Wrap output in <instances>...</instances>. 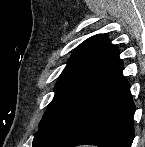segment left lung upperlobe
I'll return each instance as SVG.
<instances>
[{
	"label": "left lung upper lobe",
	"mask_w": 145,
	"mask_h": 147,
	"mask_svg": "<svg viewBox=\"0 0 145 147\" xmlns=\"http://www.w3.org/2000/svg\"><path fill=\"white\" fill-rule=\"evenodd\" d=\"M113 49L105 34L92 36L75 49L39 123L33 147H43L62 135Z\"/></svg>",
	"instance_id": "5c2ea615"
}]
</instances>
